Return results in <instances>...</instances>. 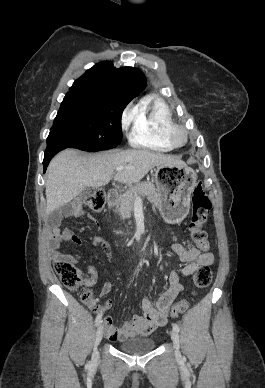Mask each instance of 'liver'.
Returning <instances> with one entry per match:
<instances>
[{
  "mask_svg": "<svg viewBox=\"0 0 265 388\" xmlns=\"http://www.w3.org/2000/svg\"><path fill=\"white\" fill-rule=\"evenodd\" d=\"M119 166H134L135 170H122L114 176L115 182L137 184L155 166H180L185 162L150 150H124L104 152L83 158L76 150H64L51 160L46 180V214L69 204L85 188L106 186Z\"/></svg>",
  "mask_w": 265,
  "mask_h": 388,
  "instance_id": "obj_1",
  "label": "liver"
}]
</instances>
